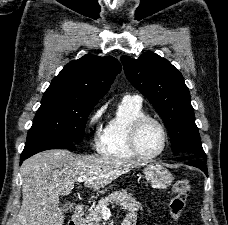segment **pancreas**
Listing matches in <instances>:
<instances>
[{"instance_id": "cf45deb5", "label": "pancreas", "mask_w": 228, "mask_h": 225, "mask_svg": "<svg viewBox=\"0 0 228 225\" xmlns=\"http://www.w3.org/2000/svg\"><path fill=\"white\" fill-rule=\"evenodd\" d=\"M113 203H119L122 209H128V211H139V209L142 211L143 209L141 203H137L136 199L127 191H114L105 199H100L98 205L92 207V211L84 219V225H101V207H108V205H113Z\"/></svg>"}]
</instances>
